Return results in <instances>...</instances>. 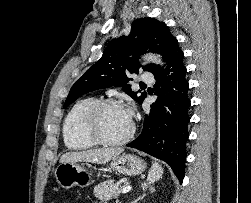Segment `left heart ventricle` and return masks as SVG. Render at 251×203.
Returning <instances> with one entry per match:
<instances>
[{
  "label": "left heart ventricle",
  "instance_id": "b2bd125f",
  "mask_svg": "<svg viewBox=\"0 0 251 203\" xmlns=\"http://www.w3.org/2000/svg\"><path fill=\"white\" fill-rule=\"evenodd\" d=\"M99 128L106 138L119 139L129 132L131 120L122 106H109L100 115Z\"/></svg>",
  "mask_w": 251,
  "mask_h": 203
}]
</instances>
